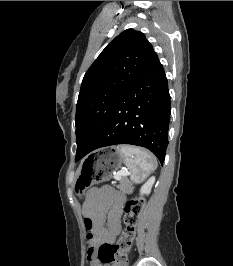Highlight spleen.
I'll use <instances>...</instances> for the list:
<instances>
[{
  "mask_svg": "<svg viewBox=\"0 0 233 266\" xmlns=\"http://www.w3.org/2000/svg\"><path fill=\"white\" fill-rule=\"evenodd\" d=\"M118 150L124 157L131 183L138 184L142 182L157 167L155 157L144 149L121 145Z\"/></svg>",
  "mask_w": 233,
  "mask_h": 266,
  "instance_id": "1",
  "label": "spleen"
}]
</instances>
